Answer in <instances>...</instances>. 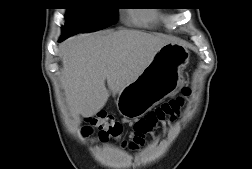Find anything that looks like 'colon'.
<instances>
[{
    "label": "colon",
    "instance_id": "obj_1",
    "mask_svg": "<svg viewBox=\"0 0 252 169\" xmlns=\"http://www.w3.org/2000/svg\"><path fill=\"white\" fill-rule=\"evenodd\" d=\"M189 92V89L185 88L180 96L169 100L138 120L126 144L132 149L138 148L144 144L146 137L159 126L176 120ZM87 122L88 127L85 129V133L95 128L99 131L102 139L119 140L122 137L123 128L121 124L105 113H97L89 117Z\"/></svg>",
    "mask_w": 252,
    "mask_h": 169
}]
</instances>
